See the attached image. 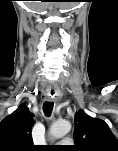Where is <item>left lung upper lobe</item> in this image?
Wrapping results in <instances>:
<instances>
[{"label": "left lung upper lobe", "instance_id": "left-lung-upper-lobe-1", "mask_svg": "<svg viewBox=\"0 0 118 151\" xmlns=\"http://www.w3.org/2000/svg\"><path fill=\"white\" fill-rule=\"evenodd\" d=\"M75 148L78 151H118V140L107 123L79 110L75 115Z\"/></svg>", "mask_w": 118, "mask_h": 151}]
</instances>
